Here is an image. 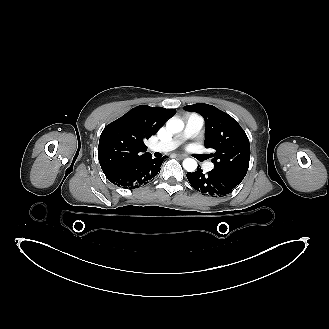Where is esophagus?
Returning <instances> with one entry per match:
<instances>
[{
	"label": "esophagus",
	"mask_w": 329,
	"mask_h": 329,
	"mask_svg": "<svg viewBox=\"0 0 329 329\" xmlns=\"http://www.w3.org/2000/svg\"><path fill=\"white\" fill-rule=\"evenodd\" d=\"M177 157L180 158V159H184L186 157V155H184V154H178Z\"/></svg>",
	"instance_id": "esophagus-1"
}]
</instances>
